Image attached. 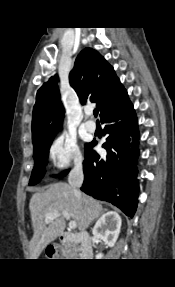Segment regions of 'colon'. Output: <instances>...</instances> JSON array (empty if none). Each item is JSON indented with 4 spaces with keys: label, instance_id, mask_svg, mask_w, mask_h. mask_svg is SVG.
Returning <instances> with one entry per match:
<instances>
[{
    "label": "colon",
    "instance_id": "5ec220e1",
    "mask_svg": "<svg viewBox=\"0 0 175 287\" xmlns=\"http://www.w3.org/2000/svg\"><path fill=\"white\" fill-rule=\"evenodd\" d=\"M47 255L49 257H56L58 255V250L57 248L53 247V246H50L48 249H47Z\"/></svg>",
    "mask_w": 175,
    "mask_h": 287
}]
</instances>
